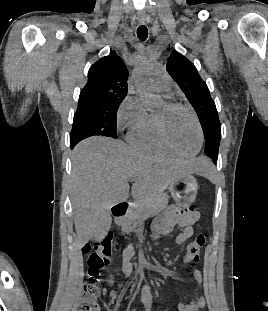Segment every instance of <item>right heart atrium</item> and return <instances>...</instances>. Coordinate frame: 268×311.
<instances>
[{"mask_svg": "<svg viewBox=\"0 0 268 311\" xmlns=\"http://www.w3.org/2000/svg\"><path fill=\"white\" fill-rule=\"evenodd\" d=\"M146 112L138 97L128 96L122 102L117 113V125L121 129L132 128L143 120Z\"/></svg>", "mask_w": 268, "mask_h": 311, "instance_id": "obj_1", "label": "right heart atrium"}]
</instances>
